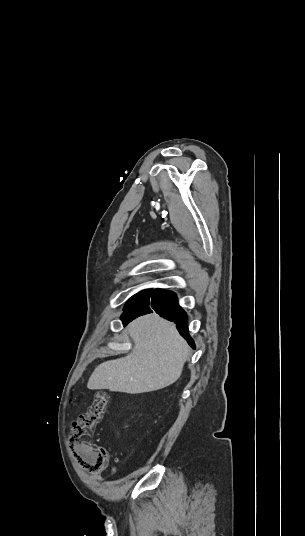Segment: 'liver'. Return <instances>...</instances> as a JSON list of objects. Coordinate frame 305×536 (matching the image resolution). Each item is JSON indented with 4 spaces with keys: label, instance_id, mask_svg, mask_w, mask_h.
Segmentation results:
<instances>
[{
    "label": "liver",
    "instance_id": "6515ba94",
    "mask_svg": "<svg viewBox=\"0 0 305 536\" xmlns=\"http://www.w3.org/2000/svg\"><path fill=\"white\" fill-rule=\"evenodd\" d=\"M128 332L134 342L131 354L97 366L88 380L89 390L142 394L167 388L180 378L190 348L175 324L148 314L131 322Z\"/></svg>",
    "mask_w": 305,
    "mask_h": 536
}]
</instances>
